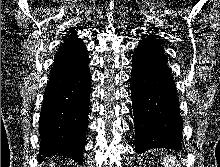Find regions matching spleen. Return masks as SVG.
<instances>
[{"label":"spleen","instance_id":"1","mask_svg":"<svg viewBox=\"0 0 220 167\" xmlns=\"http://www.w3.org/2000/svg\"><path fill=\"white\" fill-rule=\"evenodd\" d=\"M165 167H180L178 160L175 157H166L163 161Z\"/></svg>","mask_w":220,"mask_h":167}]
</instances>
